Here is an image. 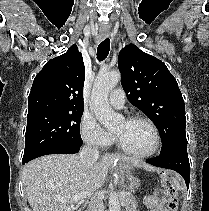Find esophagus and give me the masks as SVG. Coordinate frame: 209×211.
<instances>
[{
  "instance_id": "34e87169",
  "label": "esophagus",
  "mask_w": 209,
  "mask_h": 211,
  "mask_svg": "<svg viewBox=\"0 0 209 211\" xmlns=\"http://www.w3.org/2000/svg\"><path fill=\"white\" fill-rule=\"evenodd\" d=\"M101 34L103 37H107L109 35V31L108 30H102Z\"/></svg>"
}]
</instances>
